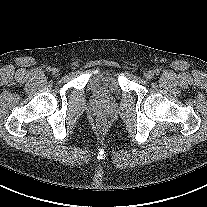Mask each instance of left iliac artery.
<instances>
[{
  "mask_svg": "<svg viewBox=\"0 0 207 207\" xmlns=\"http://www.w3.org/2000/svg\"><path fill=\"white\" fill-rule=\"evenodd\" d=\"M154 73H155L156 75H158V74L160 73V70H159V69H155V70H154Z\"/></svg>",
  "mask_w": 207,
  "mask_h": 207,
  "instance_id": "obj_1",
  "label": "left iliac artery"
}]
</instances>
